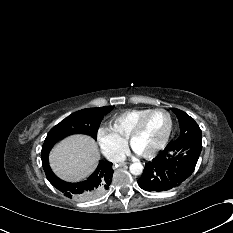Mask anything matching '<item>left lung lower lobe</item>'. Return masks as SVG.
<instances>
[{"instance_id": "left-lung-lower-lobe-1", "label": "left lung lower lobe", "mask_w": 233, "mask_h": 233, "mask_svg": "<svg viewBox=\"0 0 233 233\" xmlns=\"http://www.w3.org/2000/svg\"><path fill=\"white\" fill-rule=\"evenodd\" d=\"M201 149L202 145L199 144L190 148L169 143L151 162L145 164L138 185L149 192H162L179 186L193 173Z\"/></svg>"}]
</instances>
